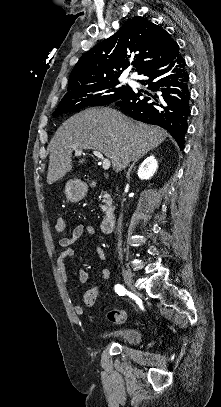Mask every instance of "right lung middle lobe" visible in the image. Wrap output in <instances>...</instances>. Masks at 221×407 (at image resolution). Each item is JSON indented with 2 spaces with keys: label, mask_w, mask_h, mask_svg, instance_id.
<instances>
[{
  "label": "right lung middle lobe",
  "mask_w": 221,
  "mask_h": 407,
  "mask_svg": "<svg viewBox=\"0 0 221 407\" xmlns=\"http://www.w3.org/2000/svg\"><path fill=\"white\" fill-rule=\"evenodd\" d=\"M131 90L119 86V82H105L94 86L73 90L60 101L53 115L76 111L90 106H103L120 99Z\"/></svg>",
  "instance_id": "right-lung-middle-lobe-1"
}]
</instances>
